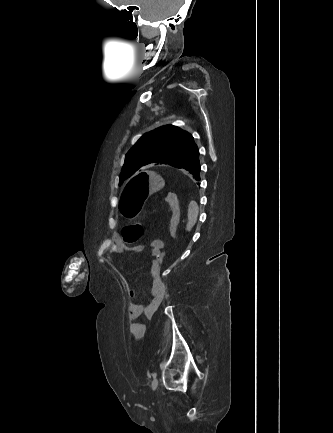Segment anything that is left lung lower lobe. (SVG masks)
<instances>
[{
    "label": "left lung lower lobe",
    "mask_w": 333,
    "mask_h": 433,
    "mask_svg": "<svg viewBox=\"0 0 333 433\" xmlns=\"http://www.w3.org/2000/svg\"><path fill=\"white\" fill-rule=\"evenodd\" d=\"M182 169L187 170L196 180H200V161L199 156L195 158L193 161L185 165Z\"/></svg>",
    "instance_id": "left-lung-lower-lobe-1"
}]
</instances>
